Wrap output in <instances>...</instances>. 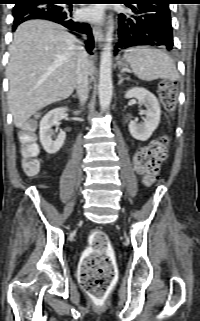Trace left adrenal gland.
Wrapping results in <instances>:
<instances>
[{
    "instance_id": "a2214340",
    "label": "left adrenal gland",
    "mask_w": 200,
    "mask_h": 321,
    "mask_svg": "<svg viewBox=\"0 0 200 321\" xmlns=\"http://www.w3.org/2000/svg\"><path fill=\"white\" fill-rule=\"evenodd\" d=\"M118 78H119L118 85H121L124 80H129L128 77H126V78H125V77H122L121 74H118Z\"/></svg>"
}]
</instances>
